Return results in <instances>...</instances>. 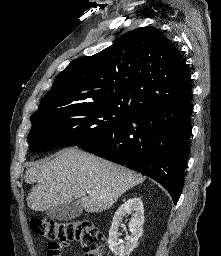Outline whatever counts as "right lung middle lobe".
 <instances>
[{
	"label": "right lung middle lobe",
	"mask_w": 221,
	"mask_h": 256,
	"mask_svg": "<svg viewBox=\"0 0 221 256\" xmlns=\"http://www.w3.org/2000/svg\"><path fill=\"white\" fill-rule=\"evenodd\" d=\"M135 114L111 104H80L31 116L30 149L80 145Z\"/></svg>",
	"instance_id": "obj_1"
}]
</instances>
